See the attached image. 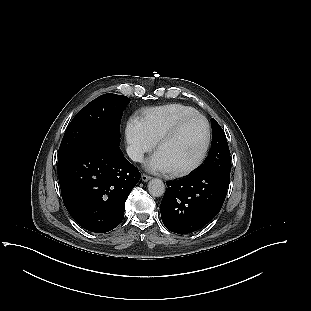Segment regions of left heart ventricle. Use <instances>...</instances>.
<instances>
[{
    "mask_svg": "<svg viewBox=\"0 0 311 311\" xmlns=\"http://www.w3.org/2000/svg\"><path fill=\"white\" fill-rule=\"evenodd\" d=\"M205 142V125L201 119L187 122L171 140L160 145L171 170L191 164L200 154Z\"/></svg>",
    "mask_w": 311,
    "mask_h": 311,
    "instance_id": "1",
    "label": "left heart ventricle"
}]
</instances>
